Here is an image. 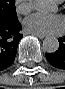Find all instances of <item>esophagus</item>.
<instances>
[{"label": "esophagus", "instance_id": "obj_1", "mask_svg": "<svg viewBox=\"0 0 65 89\" xmlns=\"http://www.w3.org/2000/svg\"><path fill=\"white\" fill-rule=\"evenodd\" d=\"M34 36H36V37H38V38H40V39H43V38L46 37L45 35H37V34H34Z\"/></svg>", "mask_w": 65, "mask_h": 89}]
</instances>
